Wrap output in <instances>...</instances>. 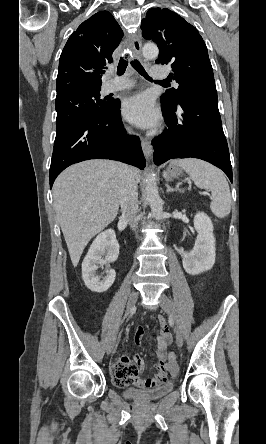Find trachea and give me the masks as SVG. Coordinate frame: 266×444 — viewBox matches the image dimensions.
Instances as JSON below:
<instances>
[{
	"label": "trachea",
	"mask_w": 266,
	"mask_h": 444,
	"mask_svg": "<svg viewBox=\"0 0 266 444\" xmlns=\"http://www.w3.org/2000/svg\"><path fill=\"white\" fill-rule=\"evenodd\" d=\"M131 65L141 76H143L145 79H147L149 81H152V78L147 74L146 70L140 64V62L138 60L135 59V60L131 61ZM127 66H128V61L121 57L119 60V63H118V67H117V74L119 76L123 75ZM157 82H161L166 85L168 84L166 81H157Z\"/></svg>",
	"instance_id": "3493384b"
}]
</instances>
